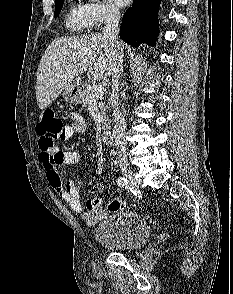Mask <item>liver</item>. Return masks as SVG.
I'll return each mask as SVG.
<instances>
[{"instance_id":"1","label":"liver","mask_w":233,"mask_h":294,"mask_svg":"<svg viewBox=\"0 0 233 294\" xmlns=\"http://www.w3.org/2000/svg\"><path fill=\"white\" fill-rule=\"evenodd\" d=\"M101 34L60 37L47 47L37 70L36 97L43 110L74 79L85 71L94 80L106 79L113 73L116 58L123 54Z\"/></svg>"}]
</instances>
